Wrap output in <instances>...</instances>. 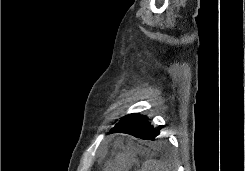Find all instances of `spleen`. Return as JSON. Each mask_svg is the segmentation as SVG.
I'll return each mask as SVG.
<instances>
[{"instance_id": "3e777b00", "label": "spleen", "mask_w": 245, "mask_h": 171, "mask_svg": "<svg viewBox=\"0 0 245 171\" xmlns=\"http://www.w3.org/2000/svg\"><path fill=\"white\" fill-rule=\"evenodd\" d=\"M139 171H169L167 165L162 161L146 160Z\"/></svg>"}]
</instances>
